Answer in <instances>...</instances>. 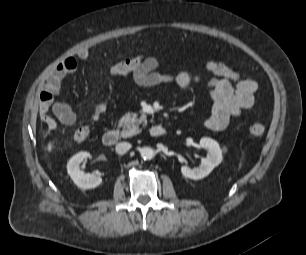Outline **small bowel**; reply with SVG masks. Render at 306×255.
I'll use <instances>...</instances> for the list:
<instances>
[{
  "label": "small bowel",
  "mask_w": 306,
  "mask_h": 255,
  "mask_svg": "<svg viewBox=\"0 0 306 255\" xmlns=\"http://www.w3.org/2000/svg\"><path fill=\"white\" fill-rule=\"evenodd\" d=\"M88 58L89 51L80 50L76 57L70 56L61 61L43 82L39 95V118L50 130L57 127V122L50 115V111L62 124L74 123L75 113L71 107L55 101L54 96L59 92L63 79L76 70L77 59L84 61ZM158 66L159 61L156 57H146L143 63L131 73L135 84L141 87H154L175 82L181 89H188L201 80L199 75L189 71H180L176 74L160 73L157 71ZM205 68L211 75L207 84L212 108L204 125L213 131L223 130L232 118L252 108L258 85L254 80L243 78L240 73L222 62L208 60L205 62Z\"/></svg>",
  "instance_id": "small-bowel-1"
}]
</instances>
